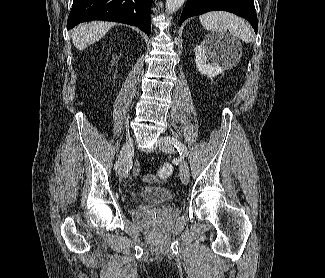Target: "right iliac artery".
I'll return each mask as SVG.
<instances>
[{
    "mask_svg": "<svg viewBox=\"0 0 325 278\" xmlns=\"http://www.w3.org/2000/svg\"><path fill=\"white\" fill-rule=\"evenodd\" d=\"M119 161L116 162V164L114 165V169L117 170L118 166H119Z\"/></svg>",
    "mask_w": 325,
    "mask_h": 278,
    "instance_id": "82829eb1",
    "label": "right iliac artery"
}]
</instances>
